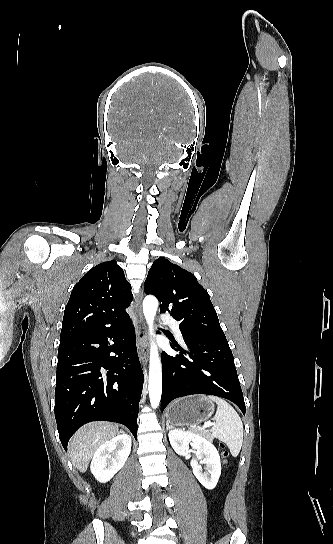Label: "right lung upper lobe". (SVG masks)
Here are the masks:
<instances>
[{
    "mask_svg": "<svg viewBox=\"0 0 333 544\" xmlns=\"http://www.w3.org/2000/svg\"><path fill=\"white\" fill-rule=\"evenodd\" d=\"M133 295L116 260L100 263L74 286L64 311L60 341L118 324Z\"/></svg>",
    "mask_w": 333,
    "mask_h": 544,
    "instance_id": "right-lung-upper-lobe-1",
    "label": "right lung upper lobe"
}]
</instances>
